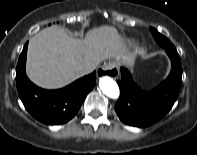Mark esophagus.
<instances>
[{"label": "esophagus", "instance_id": "obj_1", "mask_svg": "<svg viewBox=\"0 0 197 155\" xmlns=\"http://www.w3.org/2000/svg\"><path fill=\"white\" fill-rule=\"evenodd\" d=\"M98 76H109L116 79L119 76V68L115 62H105L97 71Z\"/></svg>", "mask_w": 197, "mask_h": 155}]
</instances>
